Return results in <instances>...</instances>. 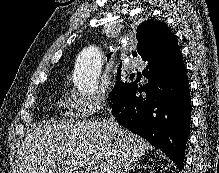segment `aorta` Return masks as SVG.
I'll return each mask as SVG.
<instances>
[{
	"mask_svg": "<svg viewBox=\"0 0 219 173\" xmlns=\"http://www.w3.org/2000/svg\"><path fill=\"white\" fill-rule=\"evenodd\" d=\"M101 62L102 54L97 47L89 46L82 50L76 67L75 85L78 90L87 94H93L96 91Z\"/></svg>",
	"mask_w": 219,
	"mask_h": 173,
	"instance_id": "1",
	"label": "aorta"
}]
</instances>
